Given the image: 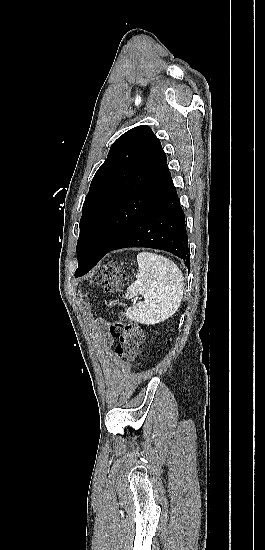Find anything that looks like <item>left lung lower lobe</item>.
I'll return each mask as SVG.
<instances>
[{
	"instance_id": "left-lung-lower-lobe-1",
	"label": "left lung lower lobe",
	"mask_w": 265,
	"mask_h": 550,
	"mask_svg": "<svg viewBox=\"0 0 265 550\" xmlns=\"http://www.w3.org/2000/svg\"><path fill=\"white\" fill-rule=\"evenodd\" d=\"M185 215L174 184L133 225L104 252L90 251L75 272L80 277L89 272L108 252L126 247H148L168 251L184 260L190 270Z\"/></svg>"
}]
</instances>
